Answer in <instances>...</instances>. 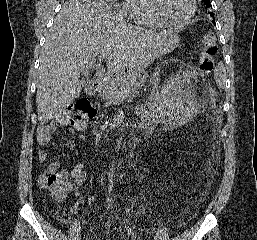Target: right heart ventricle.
<instances>
[{"mask_svg": "<svg viewBox=\"0 0 257 240\" xmlns=\"http://www.w3.org/2000/svg\"><path fill=\"white\" fill-rule=\"evenodd\" d=\"M129 18L136 25L149 28L159 29L164 27L151 12L149 0H124L121 8Z\"/></svg>", "mask_w": 257, "mask_h": 240, "instance_id": "right-heart-ventricle-1", "label": "right heart ventricle"}]
</instances>
